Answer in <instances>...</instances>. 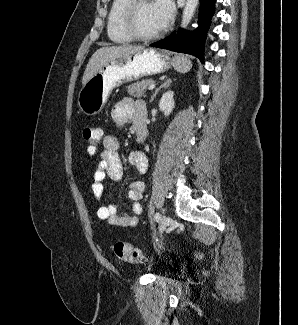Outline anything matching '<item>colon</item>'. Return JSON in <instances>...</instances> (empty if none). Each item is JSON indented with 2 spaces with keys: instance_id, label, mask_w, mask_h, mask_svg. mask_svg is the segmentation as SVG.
I'll use <instances>...</instances> for the list:
<instances>
[{
  "instance_id": "colon-1",
  "label": "colon",
  "mask_w": 298,
  "mask_h": 325,
  "mask_svg": "<svg viewBox=\"0 0 298 325\" xmlns=\"http://www.w3.org/2000/svg\"><path fill=\"white\" fill-rule=\"evenodd\" d=\"M102 130L94 125H87L82 132V138L85 148L90 155L98 151L99 142L102 138ZM114 255L125 262L140 263L143 261V255L139 249L126 242H116L113 245Z\"/></svg>"
}]
</instances>
